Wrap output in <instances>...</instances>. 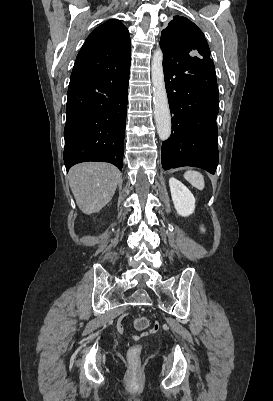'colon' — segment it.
Returning <instances> with one entry per match:
<instances>
[{
  "mask_svg": "<svg viewBox=\"0 0 273 401\" xmlns=\"http://www.w3.org/2000/svg\"><path fill=\"white\" fill-rule=\"evenodd\" d=\"M148 322L146 319L138 318L136 321L137 331L139 333H144ZM144 347L142 344H131L129 349L124 350V357L129 358V367L127 369V378L129 381H140L142 378L140 369V357L143 352Z\"/></svg>",
  "mask_w": 273,
  "mask_h": 401,
  "instance_id": "5ec220e1",
  "label": "colon"
}]
</instances>
